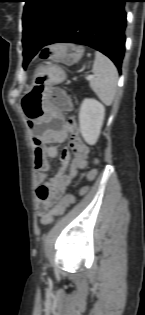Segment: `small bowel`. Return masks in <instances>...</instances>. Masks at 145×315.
I'll use <instances>...</instances> for the list:
<instances>
[{
    "mask_svg": "<svg viewBox=\"0 0 145 315\" xmlns=\"http://www.w3.org/2000/svg\"><path fill=\"white\" fill-rule=\"evenodd\" d=\"M71 134L69 145L75 153L68 172H65L70 158V151L65 148L60 157V167L58 173L47 183L46 173L49 170V158L58 155V146L49 144L51 140L62 142ZM31 147H34V167L36 169L35 182L38 185V214L43 225L49 224L47 221L49 208L65 193L67 188L76 180L78 172L87 167L89 149L87 145L75 133V123L69 120L65 128L52 136L51 131H46L41 140H31ZM96 175L95 170L87 173L89 180Z\"/></svg>",
    "mask_w": 145,
    "mask_h": 315,
    "instance_id": "c3829d8e",
    "label": "small bowel"
}]
</instances>
